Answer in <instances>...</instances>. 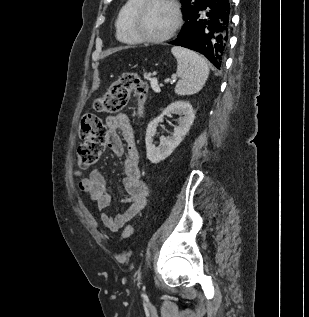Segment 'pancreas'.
Segmentation results:
<instances>
[{"mask_svg":"<svg viewBox=\"0 0 309 317\" xmlns=\"http://www.w3.org/2000/svg\"><path fill=\"white\" fill-rule=\"evenodd\" d=\"M146 79H149V80H151L149 77H146Z\"/></svg>","mask_w":309,"mask_h":317,"instance_id":"pancreas-1","label":"pancreas"}]
</instances>
